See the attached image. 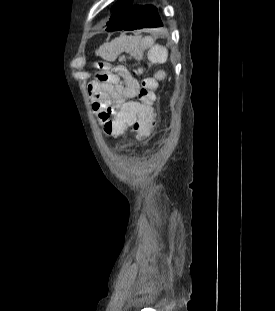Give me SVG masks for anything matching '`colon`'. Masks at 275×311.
Instances as JSON below:
<instances>
[{"instance_id":"obj_1","label":"colon","mask_w":275,"mask_h":311,"mask_svg":"<svg viewBox=\"0 0 275 311\" xmlns=\"http://www.w3.org/2000/svg\"><path fill=\"white\" fill-rule=\"evenodd\" d=\"M150 60V57H149ZM97 79L105 80L109 73V68L104 63H98L96 65ZM142 69L138 68L137 72H141ZM157 89V85L154 83L152 78H143L139 83V97L143 100H155V92ZM155 124V122H154ZM104 132L108 136H117L119 135L118 130H129V118H112V119H104ZM139 134V133H137Z\"/></svg>"}]
</instances>
